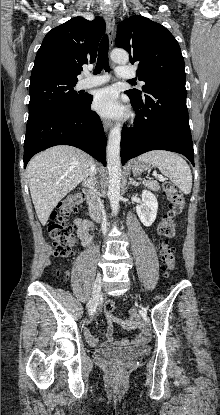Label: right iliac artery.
I'll return each mask as SVG.
<instances>
[{
  "instance_id": "obj_1",
  "label": "right iliac artery",
  "mask_w": 220,
  "mask_h": 415,
  "mask_svg": "<svg viewBox=\"0 0 220 415\" xmlns=\"http://www.w3.org/2000/svg\"><path fill=\"white\" fill-rule=\"evenodd\" d=\"M91 301H92V300H90V301L88 302L87 307H90V305H91Z\"/></svg>"
}]
</instances>
